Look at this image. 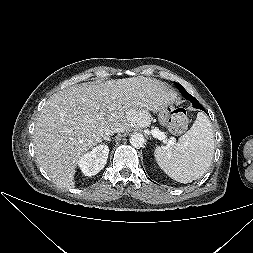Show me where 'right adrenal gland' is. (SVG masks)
<instances>
[{
  "instance_id": "obj_1",
  "label": "right adrenal gland",
  "mask_w": 253,
  "mask_h": 253,
  "mask_svg": "<svg viewBox=\"0 0 253 253\" xmlns=\"http://www.w3.org/2000/svg\"><path fill=\"white\" fill-rule=\"evenodd\" d=\"M102 140L111 141V138H110V136H108V137H104Z\"/></svg>"
}]
</instances>
